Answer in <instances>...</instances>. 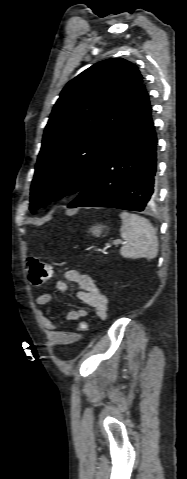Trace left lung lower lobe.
I'll return each mask as SVG.
<instances>
[{
  "label": "left lung lower lobe",
  "mask_w": 187,
  "mask_h": 479,
  "mask_svg": "<svg viewBox=\"0 0 187 479\" xmlns=\"http://www.w3.org/2000/svg\"><path fill=\"white\" fill-rule=\"evenodd\" d=\"M156 144L151 106L142 83L119 137L68 208L143 211L156 194Z\"/></svg>",
  "instance_id": "left-lung-lower-lobe-1"
}]
</instances>
